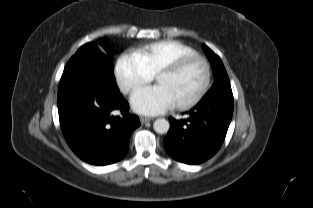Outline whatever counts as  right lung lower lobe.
<instances>
[{"instance_id":"1","label":"right lung lower lobe","mask_w":313,"mask_h":208,"mask_svg":"<svg viewBox=\"0 0 313 208\" xmlns=\"http://www.w3.org/2000/svg\"><path fill=\"white\" fill-rule=\"evenodd\" d=\"M57 105L61 129L72 151L93 165L121 160L128 151L130 136L140 126L128 113L129 105L119 94L113 73L87 58L64 69ZM119 110L121 116H113Z\"/></svg>"}]
</instances>
